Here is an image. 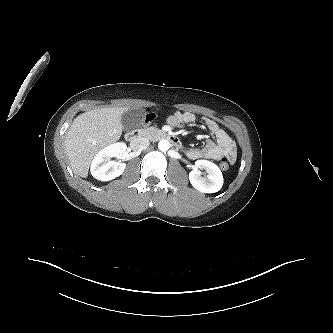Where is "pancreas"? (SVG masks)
Instances as JSON below:
<instances>
[{"instance_id": "1", "label": "pancreas", "mask_w": 333, "mask_h": 333, "mask_svg": "<svg viewBox=\"0 0 333 333\" xmlns=\"http://www.w3.org/2000/svg\"><path fill=\"white\" fill-rule=\"evenodd\" d=\"M148 130H152V131H155L157 130V128H154V127H150Z\"/></svg>"}]
</instances>
